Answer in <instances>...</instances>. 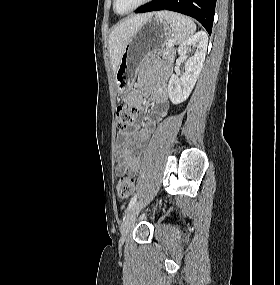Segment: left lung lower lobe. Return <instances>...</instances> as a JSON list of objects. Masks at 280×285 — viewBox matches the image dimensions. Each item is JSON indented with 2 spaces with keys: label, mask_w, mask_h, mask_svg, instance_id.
I'll return each instance as SVG.
<instances>
[{
  "label": "left lung lower lobe",
  "mask_w": 280,
  "mask_h": 285,
  "mask_svg": "<svg viewBox=\"0 0 280 285\" xmlns=\"http://www.w3.org/2000/svg\"><path fill=\"white\" fill-rule=\"evenodd\" d=\"M216 0H152L135 12L144 13L170 10L191 16L198 20L211 35Z\"/></svg>",
  "instance_id": "0a47b994"
}]
</instances>
